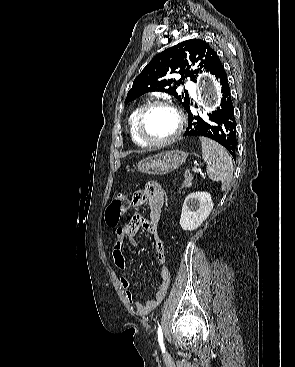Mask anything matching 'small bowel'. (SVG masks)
Returning <instances> with one entry per match:
<instances>
[{"label": "small bowel", "instance_id": "1", "mask_svg": "<svg viewBox=\"0 0 295 367\" xmlns=\"http://www.w3.org/2000/svg\"><path fill=\"white\" fill-rule=\"evenodd\" d=\"M164 189L155 181H149L145 187L134 193L132 204L135 207L147 204L149 207V217L144 218L136 209L132 210V215L122 227L116 232V239L113 244L112 258L115 266L125 271L128 262L123 254L124 241L127 240L133 247L137 245L135 236L138 229L142 226L148 232L153 240V245L158 261L162 264L159 269V288L153 299L147 301H137L133 293L129 290L130 282L127 278L120 279V285L125 291L126 299L129 303H135L136 312L140 315L151 313L164 299L170 283V272L164 265L166 262V251L162 239L158 234L157 223L162 212V201L164 200Z\"/></svg>", "mask_w": 295, "mask_h": 367}]
</instances>
